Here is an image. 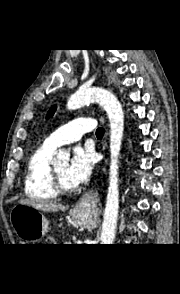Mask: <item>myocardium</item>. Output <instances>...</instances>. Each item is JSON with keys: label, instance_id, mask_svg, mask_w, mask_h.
Masks as SVG:
<instances>
[{"label": "myocardium", "instance_id": "myocardium-1", "mask_svg": "<svg viewBox=\"0 0 180 294\" xmlns=\"http://www.w3.org/2000/svg\"><path fill=\"white\" fill-rule=\"evenodd\" d=\"M51 175H52V188L56 192L57 195H71L76 192V188H67L60 176L58 175L55 166L51 168Z\"/></svg>", "mask_w": 180, "mask_h": 294}]
</instances>
